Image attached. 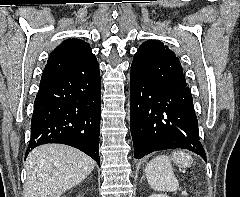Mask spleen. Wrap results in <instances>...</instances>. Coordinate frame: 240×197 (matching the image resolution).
<instances>
[{"label": "spleen", "instance_id": "obj_1", "mask_svg": "<svg viewBox=\"0 0 240 197\" xmlns=\"http://www.w3.org/2000/svg\"><path fill=\"white\" fill-rule=\"evenodd\" d=\"M171 161L176 163L190 162L189 154L181 151L173 152L171 156L161 155L152 159L146 166V177L150 187L156 191L171 192L179 187L177 178L174 175Z\"/></svg>", "mask_w": 240, "mask_h": 197}]
</instances>
